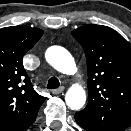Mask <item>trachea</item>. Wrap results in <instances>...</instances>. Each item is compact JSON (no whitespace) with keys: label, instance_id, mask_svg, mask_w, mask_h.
Wrapping results in <instances>:
<instances>
[{"label":"trachea","instance_id":"trachea-1","mask_svg":"<svg viewBox=\"0 0 131 131\" xmlns=\"http://www.w3.org/2000/svg\"><path fill=\"white\" fill-rule=\"evenodd\" d=\"M59 85H60V82H59L58 78L51 77L48 81L47 88L48 89H56L59 87Z\"/></svg>","mask_w":131,"mask_h":131}]
</instances>
